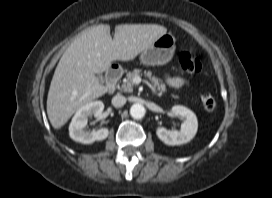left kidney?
I'll use <instances>...</instances> for the list:
<instances>
[{
	"label": "left kidney",
	"instance_id": "left-kidney-1",
	"mask_svg": "<svg viewBox=\"0 0 272 198\" xmlns=\"http://www.w3.org/2000/svg\"><path fill=\"white\" fill-rule=\"evenodd\" d=\"M172 112L184 119L180 131L158 127L156 135L167 145L174 146L188 143L197 133L198 121L196 115L190 109L181 105L173 106Z\"/></svg>",
	"mask_w": 272,
	"mask_h": 198
}]
</instances>
